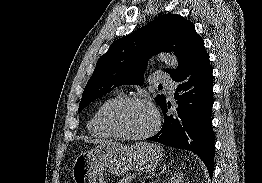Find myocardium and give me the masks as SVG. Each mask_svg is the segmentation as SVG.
Returning <instances> with one entry per match:
<instances>
[{"label": "myocardium", "mask_w": 262, "mask_h": 183, "mask_svg": "<svg viewBox=\"0 0 262 183\" xmlns=\"http://www.w3.org/2000/svg\"><path fill=\"white\" fill-rule=\"evenodd\" d=\"M134 104H143L150 107L155 115V124L154 126L146 133L141 135H131L122 132L115 124V117L117 114L124 108L134 105ZM104 124L107 130L115 137L124 139V140H145L153 136L160 128L161 125V116L158 109L154 106L149 100L139 98V97H125L114 103L108 108L104 115Z\"/></svg>", "instance_id": "obj_1"}]
</instances>
